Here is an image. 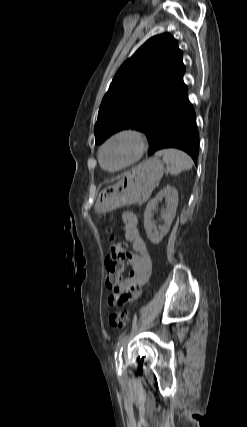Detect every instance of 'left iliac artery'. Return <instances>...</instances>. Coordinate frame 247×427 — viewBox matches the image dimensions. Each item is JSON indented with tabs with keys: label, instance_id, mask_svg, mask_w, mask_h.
I'll use <instances>...</instances> for the list:
<instances>
[{
	"label": "left iliac artery",
	"instance_id": "left-iliac-artery-1",
	"mask_svg": "<svg viewBox=\"0 0 247 427\" xmlns=\"http://www.w3.org/2000/svg\"><path fill=\"white\" fill-rule=\"evenodd\" d=\"M127 335L122 336L117 344L116 350H115V364L117 369H121L122 367V351H123V345L127 339Z\"/></svg>",
	"mask_w": 247,
	"mask_h": 427
}]
</instances>
